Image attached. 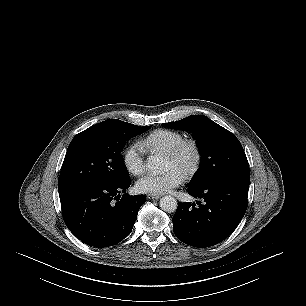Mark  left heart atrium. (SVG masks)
Here are the masks:
<instances>
[{
    "mask_svg": "<svg viewBox=\"0 0 306 306\" xmlns=\"http://www.w3.org/2000/svg\"><path fill=\"white\" fill-rule=\"evenodd\" d=\"M184 181V176L175 169H169L160 174H147L141 177L136 188L141 193L162 194L179 186Z\"/></svg>",
    "mask_w": 306,
    "mask_h": 306,
    "instance_id": "39dd6f15",
    "label": "left heart atrium"
}]
</instances>
